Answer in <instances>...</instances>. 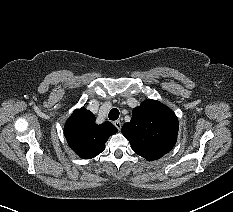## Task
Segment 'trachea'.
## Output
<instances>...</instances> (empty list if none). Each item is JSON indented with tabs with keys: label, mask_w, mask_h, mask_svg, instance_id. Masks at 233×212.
<instances>
[{
	"label": "trachea",
	"mask_w": 233,
	"mask_h": 212,
	"mask_svg": "<svg viewBox=\"0 0 233 212\" xmlns=\"http://www.w3.org/2000/svg\"><path fill=\"white\" fill-rule=\"evenodd\" d=\"M110 120H117L119 117V110L116 108H113L108 115Z\"/></svg>",
	"instance_id": "1"
}]
</instances>
